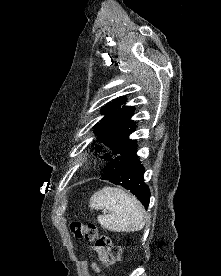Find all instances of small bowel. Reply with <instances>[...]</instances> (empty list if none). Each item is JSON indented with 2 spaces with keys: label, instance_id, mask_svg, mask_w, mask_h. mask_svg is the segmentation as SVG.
Returning <instances> with one entry per match:
<instances>
[{
  "label": "small bowel",
  "instance_id": "obj_1",
  "mask_svg": "<svg viewBox=\"0 0 221 276\" xmlns=\"http://www.w3.org/2000/svg\"><path fill=\"white\" fill-rule=\"evenodd\" d=\"M94 251L96 253L98 261H100L101 263H103L105 265L109 264V257H108V254L106 253V251L98 249L96 247L94 248ZM91 269L95 273H100V268L98 267V265L95 262L91 263Z\"/></svg>",
  "mask_w": 221,
  "mask_h": 276
}]
</instances>
